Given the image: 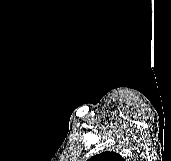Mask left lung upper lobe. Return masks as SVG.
Returning <instances> with one entry per match:
<instances>
[{
    "label": "left lung upper lobe",
    "instance_id": "5c2ea615",
    "mask_svg": "<svg viewBox=\"0 0 171 161\" xmlns=\"http://www.w3.org/2000/svg\"><path fill=\"white\" fill-rule=\"evenodd\" d=\"M88 161H125V159L115 152H103L91 157Z\"/></svg>",
    "mask_w": 171,
    "mask_h": 161
}]
</instances>
